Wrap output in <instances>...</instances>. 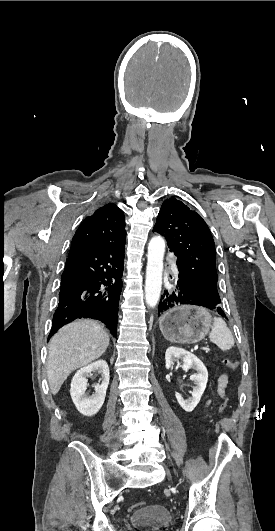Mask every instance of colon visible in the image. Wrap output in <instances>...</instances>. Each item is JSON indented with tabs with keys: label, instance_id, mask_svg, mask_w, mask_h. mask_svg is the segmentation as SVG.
Masks as SVG:
<instances>
[{
	"label": "colon",
	"instance_id": "1",
	"mask_svg": "<svg viewBox=\"0 0 275 531\" xmlns=\"http://www.w3.org/2000/svg\"><path fill=\"white\" fill-rule=\"evenodd\" d=\"M224 365H225V367H227L228 369H231V370H236L238 368V366H239L238 362L236 360H234V359H226V360H224ZM228 407H229V399L227 397H222L220 399V402H219L218 408H217L218 415L226 413ZM143 506H144V503L142 501H139V502H136L133 505V508L143 507Z\"/></svg>",
	"mask_w": 275,
	"mask_h": 531
}]
</instances>
